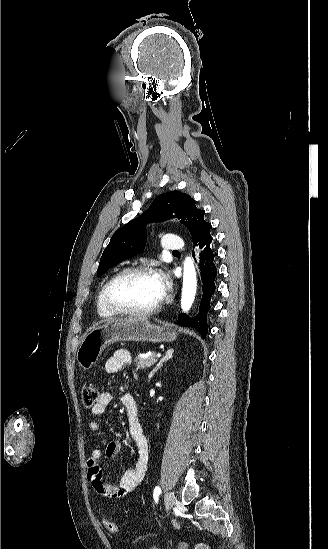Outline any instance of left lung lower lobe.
Here are the masks:
<instances>
[{
    "mask_svg": "<svg viewBox=\"0 0 328 549\" xmlns=\"http://www.w3.org/2000/svg\"><path fill=\"white\" fill-rule=\"evenodd\" d=\"M213 237L207 236L196 244L200 249V262L199 268L201 271L202 280V299L200 302L199 313L190 318L186 314H180L177 324L180 326L194 327L199 330L203 338L206 337L208 332L207 326V313L210 309V299L215 291V278L217 276V269L215 266V257L217 253L212 247ZM195 256L193 251V257Z\"/></svg>",
    "mask_w": 328,
    "mask_h": 549,
    "instance_id": "left-lung-lower-lobe-1",
    "label": "left lung lower lobe"
}]
</instances>
